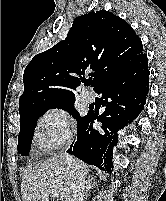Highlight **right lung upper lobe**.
Returning <instances> with one entry per match:
<instances>
[{
	"label": "right lung upper lobe",
	"instance_id": "right-lung-upper-lobe-1",
	"mask_svg": "<svg viewBox=\"0 0 166 201\" xmlns=\"http://www.w3.org/2000/svg\"><path fill=\"white\" fill-rule=\"evenodd\" d=\"M141 39L119 16L105 10L75 18L65 41L35 55L24 70L20 115L75 99V89L89 73L96 90L117 72L143 57Z\"/></svg>",
	"mask_w": 166,
	"mask_h": 201
}]
</instances>
